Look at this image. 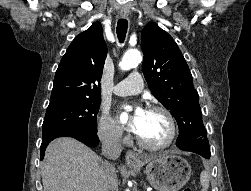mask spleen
<instances>
[{"label":"spleen","instance_id":"1","mask_svg":"<svg viewBox=\"0 0 251 191\" xmlns=\"http://www.w3.org/2000/svg\"><path fill=\"white\" fill-rule=\"evenodd\" d=\"M200 183L202 185L201 191H208L210 179H209V173L206 171V169H203L200 173Z\"/></svg>","mask_w":251,"mask_h":191}]
</instances>
